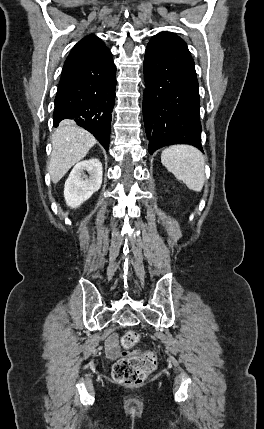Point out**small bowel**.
Instances as JSON below:
<instances>
[{
    "label": "small bowel",
    "instance_id": "1",
    "mask_svg": "<svg viewBox=\"0 0 264 429\" xmlns=\"http://www.w3.org/2000/svg\"><path fill=\"white\" fill-rule=\"evenodd\" d=\"M106 353L109 358L115 359L120 355V350L118 347V336L116 334H111L105 342Z\"/></svg>",
    "mask_w": 264,
    "mask_h": 429
}]
</instances>
